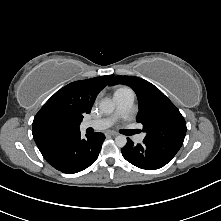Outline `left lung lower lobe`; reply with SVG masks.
I'll use <instances>...</instances> for the list:
<instances>
[{"instance_id": "1", "label": "left lung lower lobe", "mask_w": 221, "mask_h": 221, "mask_svg": "<svg viewBox=\"0 0 221 221\" xmlns=\"http://www.w3.org/2000/svg\"><path fill=\"white\" fill-rule=\"evenodd\" d=\"M175 142L143 140L142 144L135 145L127 138V144L121 149L123 157L134 166L155 170L165 166L181 148Z\"/></svg>"}]
</instances>
